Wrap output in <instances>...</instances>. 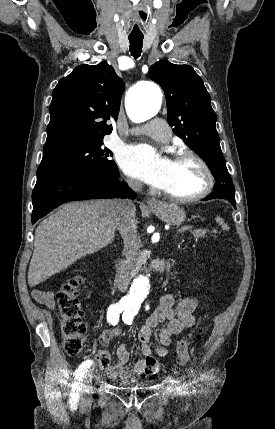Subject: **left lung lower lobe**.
Wrapping results in <instances>:
<instances>
[{
    "label": "left lung lower lobe",
    "mask_w": 275,
    "mask_h": 429,
    "mask_svg": "<svg viewBox=\"0 0 275 429\" xmlns=\"http://www.w3.org/2000/svg\"><path fill=\"white\" fill-rule=\"evenodd\" d=\"M213 198H220V199L228 200L233 205V207L236 208L235 194L230 192V191L214 190L209 196H207L203 200H209V199H213Z\"/></svg>",
    "instance_id": "obj_1"
}]
</instances>
